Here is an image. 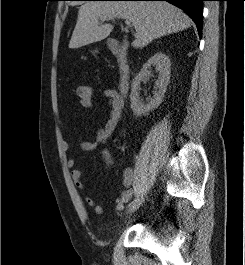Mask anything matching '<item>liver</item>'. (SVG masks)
<instances>
[{
    "label": "liver",
    "instance_id": "1",
    "mask_svg": "<svg viewBox=\"0 0 245 265\" xmlns=\"http://www.w3.org/2000/svg\"><path fill=\"white\" fill-rule=\"evenodd\" d=\"M102 16L129 20L136 30L134 48H143L154 39L177 33L192 24L181 9L168 2L90 1L79 8L69 48L77 49L107 38L113 26L100 25Z\"/></svg>",
    "mask_w": 245,
    "mask_h": 265
}]
</instances>
